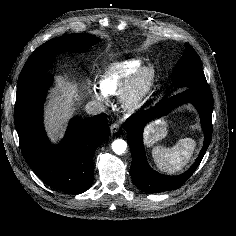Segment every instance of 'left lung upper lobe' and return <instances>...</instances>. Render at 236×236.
Masks as SVG:
<instances>
[{"instance_id": "left-lung-upper-lobe-1", "label": "left lung upper lobe", "mask_w": 236, "mask_h": 236, "mask_svg": "<svg viewBox=\"0 0 236 236\" xmlns=\"http://www.w3.org/2000/svg\"><path fill=\"white\" fill-rule=\"evenodd\" d=\"M172 82L175 87L185 89L208 85L200 57L189 44H185V53L172 72Z\"/></svg>"}]
</instances>
